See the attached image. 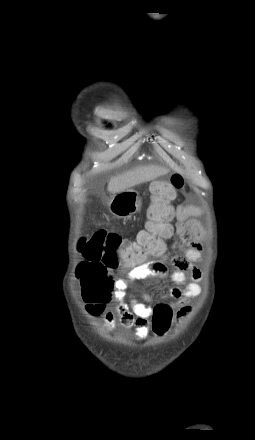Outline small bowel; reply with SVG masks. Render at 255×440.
<instances>
[{
  "label": "small bowel",
  "mask_w": 255,
  "mask_h": 440,
  "mask_svg": "<svg viewBox=\"0 0 255 440\" xmlns=\"http://www.w3.org/2000/svg\"><path fill=\"white\" fill-rule=\"evenodd\" d=\"M201 214L198 206L178 205L176 207L175 233L181 238L178 245L180 254L172 259L174 271L170 273L168 265L163 261H154L132 269L126 277L113 281V294L117 301L116 311L119 323L124 328H133L137 340H145L149 335L150 318L153 308L137 300H125L130 284L135 280L150 278H163L170 274L173 286L168 291V297L173 301L171 308L176 309L175 318L179 322L191 312L190 300L197 297L201 292L200 282L202 271L197 263L202 262V247L200 237L203 234L201 224L196 219ZM172 231L170 236H172ZM166 249V248H165ZM85 267L78 278L81 279ZM187 275L191 281H187ZM105 328L108 331L116 327V318L112 311L105 312L103 316Z\"/></svg>",
  "instance_id": "obj_1"
}]
</instances>
